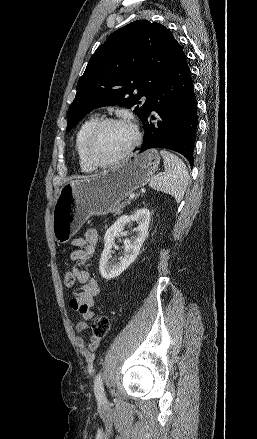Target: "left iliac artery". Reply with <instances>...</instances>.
<instances>
[{
	"instance_id": "1",
	"label": "left iliac artery",
	"mask_w": 257,
	"mask_h": 439,
	"mask_svg": "<svg viewBox=\"0 0 257 439\" xmlns=\"http://www.w3.org/2000/svg\"><path fill=\"white\" fill-rule=\"evenodd\" d=\"M94 393L96 398L99 401L105 400V394H104V388H103V381H102V374L98 373L95 377L94 381Z\"/></svg>"
}]
</instances>
